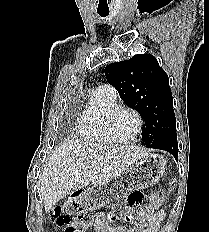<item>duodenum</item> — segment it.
Segmentation results:
<instances>
[{"label":"duodenum","instance_id":"obj_1","mask_svg":"<svg viewBox=\"0 0 209 232\" xmlns=\"http://www.w3.org/2000/svg\"><path fill=\"white\" fill-rule=\"evenodd\" d=\"M81 191L79 190L78 192H77V194H79Z\"/></svg>","mask_w":209,"mask_h":232}]
</instances>
